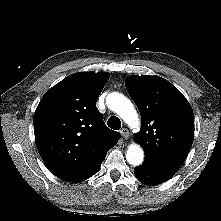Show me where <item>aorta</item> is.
<instances>
[{"instance_id":"obj_1","label":"aorta","mask_w":221,"mask_h":221,"mask_svg":"<svg viewBox=\"0 0 221 221\" xmlns=\"http://www.w3.org/2000/svg\"><path fill=\"white\" fill-rule=\"evenodd\" d=\"M107 106L117 113L131 128H138L140 120L132 102L124 95L113 92L106 98ZM126 159L132 166H139L144 160V152L140 145L132 143L126 152Z\"/></svg>"}]
</instances>
